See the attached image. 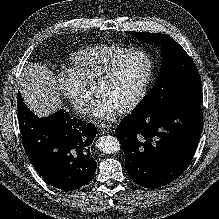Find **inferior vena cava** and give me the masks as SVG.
I'll use <instances>...</instances> for the list:
<instances>
[{
  "instance_id": "obj_1",
  "label": "inferior vena cava",
  "mask_w": 219,
  "mask_h": 219,
  "mask_svg": "<svg viewBox=\"0 0 219 219\" xmlns=\"http://www.w3.org/2000/svg\"><path fill=\"white\" fill-rule=\"evenodd\" d=\"M77 112L80 114H86L90 110L89 105L87 103H80L76 106Z\"/></svg>"
}]
</instances>
